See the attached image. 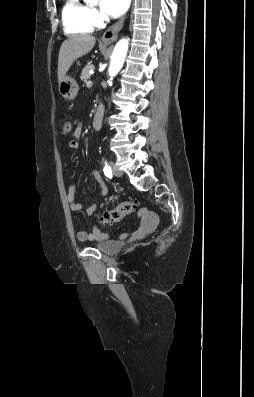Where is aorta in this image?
Instances as JSON below:
<instances>
[{
    "label": "aorta",
    "instance_id": "762f6f07",
    "mask_svg": "<svg viewBox=\"0 0 254 397\" xmlns=\"http://www.w3.org/2000/svg\"><path fill=\"white\" fill-rule=\"evenodd\" d=\"M85 1L89 3L97 2V0H85ZM128 44L129 43L127 39H122L116 44L111 56V63L109 66V75L111 77L115 76L122 68L128 51Z\"/></svg>",
    "mask_w": 254,
    "mask_h": 397
}]
</instances>
